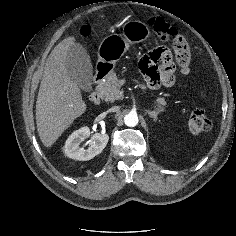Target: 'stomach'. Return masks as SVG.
<instances>
[{"mask_svg":"<svg viewBox=\"0 0 236 236\" xmlns=\"http://www.w3.org/2000/svg\"><path fill=\"white\" fill-rule=\"evenodd\" d=\"M150 33L149 27L142 21L130 20L125 22L122 26V34H111L100 43L98 49L99 64L107 66L109 70L113 69L131 44L147 40Z\"/></svg>","mask_w":236,"mask_h":236,"instance_id":"obj_1","label":"stomach"}]
</instances>
